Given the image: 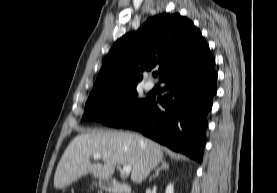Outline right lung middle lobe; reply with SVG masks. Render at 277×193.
Returning a JSON list of instances; mask_svg holds the SVG:
<instances>
[{"mask_svg": "<svg viewBox=\"0 0 277 193\" xmlns=\"http://www.w3.org/2000/svg\"><path fill=\"white\" fill-rule=\"evenodd\" d=\"M150 97L151 95H147L145 99H140L136 86L90 94L85 104L83 120L100 121L107 126L119 128Z\"/></svg>", "mask_w": 277, "mask_h": 193, "instance_id": "dd1d6c3e", "label": "right lung middle lobe"}]
</instances>
